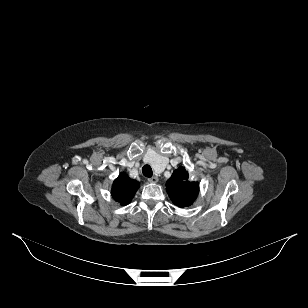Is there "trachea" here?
<instances>
[{
  "label": "trachea",
  "mask_w": 308,
  "mask_h": 308,
  "mask_svg": "<svg viewBox=\"0 0 308 308\" xmlns=\"http://www.w3.org/2000/svg\"><path fill=\"white\" fill-rule=\"evenodd\" d=\"M142 173L145 177H149V178L152 177V175H153L152 169L149 165L143 166Z\"/></svg>",
  "instance_id": "3493384b"
}]
</instances>
